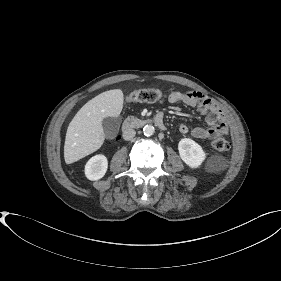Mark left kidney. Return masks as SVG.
Wrapping results in <instances>:
<instances>
[{"label":"left kidney","mask_w":281,"mask_h":281,"mask_svg":"<svg viewBox=\"0 0 281 281\" xmlns=\"http://www.w3.org/2000/svg\"><path fill=\"white\" fill-rule=\"evenodd\" d=\"M181 159L190 168H198L206 158L202 147L190 138H183L178 143Z\"/></svg>","instance_id":"left-kidney-1"}]
</instances>
